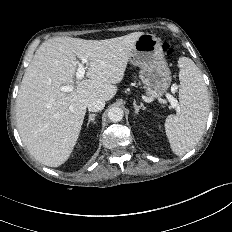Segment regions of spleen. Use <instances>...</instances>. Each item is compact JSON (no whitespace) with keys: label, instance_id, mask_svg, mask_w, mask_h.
<instances>
[{"label":"spleen","instance_id":"1","mask_svg":"<svg viewBox=\"0 0 232 232\" xmlns=\"http://www.w3.org/2000/svg\"><path fill=\"white\" fill-rule=\"evenodd\" d=\"M179 66V115H169L165 130L172 151L182 156L201 139L209 112L207 88L202 73L188 57H180Z\"/></svg>","mask_w":232,"mask_h":232}]
</instances>
